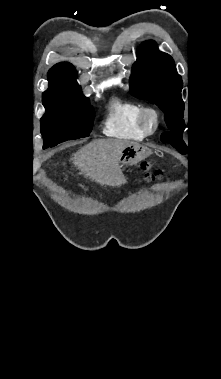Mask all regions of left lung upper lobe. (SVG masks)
I'll list each match as a JSON object with an SVG mask.
<instances>
[{"label":"left lung upper lobe","instance_id":"5c2ea615","mask_svg":"<svg viewBox=\"0 0 221 379\" xmlns=\"http://www.w3.org/2000/svg\"><path fill=\"white\" fill-rule=\"evenodd\" d=\"M182 86V79L172 57L159 51L154 41L142 43L132 67L131 92L137 98L156 104L164 112L170 131L164 132L161 140L171 143L180 153L186 154L188 147L182 138L185 129Z\"/></svg>","mask_w":221,"mask_h":379}]
</instances>
